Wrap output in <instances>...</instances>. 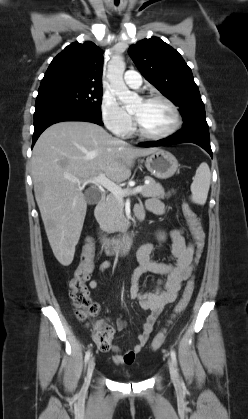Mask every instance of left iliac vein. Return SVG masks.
<instances>
[{"instance_id":"1","label":"left iliac vein","mask_w":248,"mask_h":419,"mask_svg":"<svg viewBox=\"0 0 248 419\" xmlns=\"http://www.w3.org/2000/svg\"><path fill=\"white\" fill-rule=\"evenodd\" d=\"M168 367H169L171 378L175 379L177 377V374H176V371L174 369L173 363L170 359L168 360Z\"/></svg>"}]
</instances>
